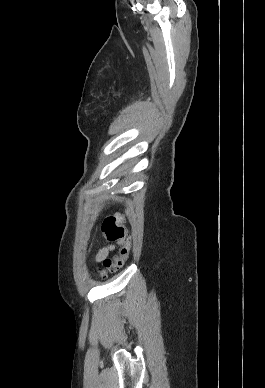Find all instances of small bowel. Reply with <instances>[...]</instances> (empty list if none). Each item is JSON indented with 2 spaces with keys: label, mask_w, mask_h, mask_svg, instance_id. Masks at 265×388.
<instances>
[{
  "label": "small bowel",
  "mask_w": 265,
  "mask_h": 388,
  "mask_svg": "<svg viewBox=\"0 0 265 388\" xmlns=\"http://www.w3.org/2000/svg\"><path fill=\"white\" fill-rule=\"evenodd\" d=\"M114 248H115L114 245H109V246H107V247H105V248H102V249L98 252V254L96 255V260H97V261H100V260L104 259V258L107 256V254H108L111 250H113Z\"/></svg>",
  "instance_id": "1"
}]
</instances>
